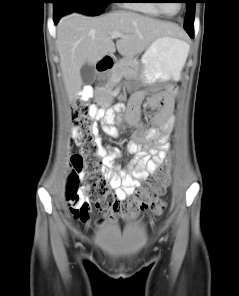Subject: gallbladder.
Listing matches in <instances>:
<instances>
[{"instance_id":"gallbladder-1","label":"gallbladder","mask_w":239,"mask_h":296,"mask_svg":"<svg viewBox=\"0 0 239 296\" xmlns=\"http://www.w3.org/2000/svg\"><path fill=\"white\" fill-rule=\"evenodd\" d=\"M81 78L84 83H91L95 78V70L93 65L85 63L81 68Z\"/></svg>"}]
</instances>
